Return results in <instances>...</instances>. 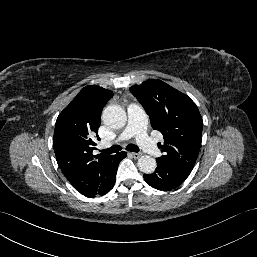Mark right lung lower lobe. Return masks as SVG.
<instances>
[{
  "label": "right lung lower lobe",
  "mask_w": 257,
  "mask_h": 257,
  "mask_svg": "<svg viewBox=\"0 0 257 257\" xmlns=\"http://www.w3.org/2000/svg\"><path fill=\"white\" fill-rule=\"evenodd\" d=\"M126 155H127L126 152L123 151L113 156V159L107 169L105 181L101 185L100 189L93 196L89 198L105 195L113 188L115 184V177H116L118 164L123 158L126 157Z\"/></svg>",
  "instance_id": "1"
}]
</instances>
